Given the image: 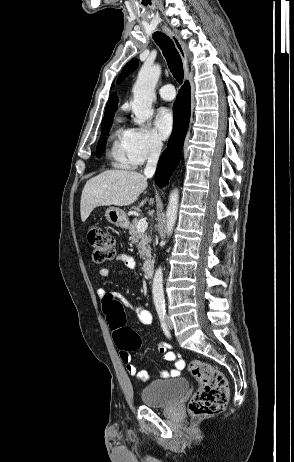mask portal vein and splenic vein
<instances>
[{
	"instance_id": "portal-vein-and-splenic-vein-1",
	"label": "portal vein and splenic vein",
	"mask_w": 294,
	"mask_h": 462,
	"mask_svg": "<svg viewBox=\"0 0 294 462\" xmlns=\"http://www.w3.org/2000/svg\"><path fill=\"white\" fill-rule=\"evenodd\" d=\"M148 227V223L145 219H140L137 223V231L138 232H145Z\"/></svg>"
}]
</instances>
